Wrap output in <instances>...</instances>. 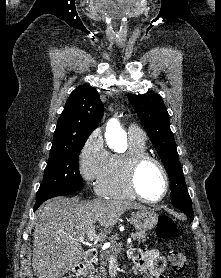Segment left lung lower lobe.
<instances>
[{
  "label": "left lung lower lobe",
  "instance_id": "0a47b994",
  "mask_svg": "<svg viewBox=\"0 0 221 278\" xmlns=\"http://www.w3.org/2000/svg\"><path fill=\"white\" fill-rule=\"evenodd\" d=\"M175 207L182 210L186 215H188L192 220L194 219V214L192 210V204H175Z\"/></svg>",
  "mask_w": 221,
  "mask_h": 278
}]
</instances>
